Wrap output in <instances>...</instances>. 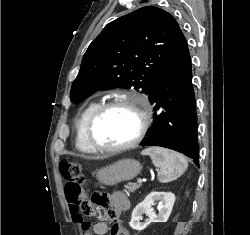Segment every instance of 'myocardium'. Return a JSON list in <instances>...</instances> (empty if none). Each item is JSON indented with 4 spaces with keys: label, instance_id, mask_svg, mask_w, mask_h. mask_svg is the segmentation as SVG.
<instances>
[{
    "label": "myocardium",
    "instance_id": "f54148a6",
    "mask_svg": "<svg viewBox=\"0 0 250 235\" xmlns=\"http://www.w3.org/2000/svg\"><path fill=\"white\" fill-rule=\"evenodd\" d=\"M124 106L133 109L139 117V128L134 138L124 144L114 146H104L99 144L94 138V127L100 117L114 107ZM149 126V112L147 103L144 100L133 97H118L101 103L89 117L85 127V138L89 146L98 152L116 153L131 149L137 146L144 138Z\"/></svg>",
    "mask_w": 250,
    "mask_h": 235
}]
</instances>
